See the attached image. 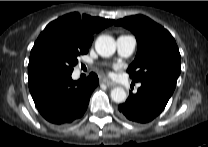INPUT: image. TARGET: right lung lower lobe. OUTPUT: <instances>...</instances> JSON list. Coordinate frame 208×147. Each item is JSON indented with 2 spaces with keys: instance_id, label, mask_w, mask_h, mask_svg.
I'll use <instances>...</instances> for the list:
<instances>
[{
  "instance_id": "obj_1",
  "label": "right lung lower lobe",
  "mask_w": 208,
  "mask_h": 147,
  "mask_svg": "<svg viewBox=\"0 0 208 147\" xmlns=\"http://www.w3.org/2000/svg\"><path fill=\"white\" fill-rule=\"evenodd\" d=\"M99 83L95 73L74 81L70 74H39L29 79V90L40 114L54 124L71 123L86 111Z\"/></svg>"
}]
</instances>
